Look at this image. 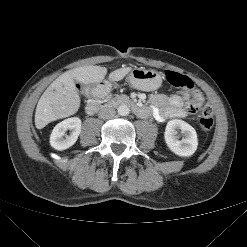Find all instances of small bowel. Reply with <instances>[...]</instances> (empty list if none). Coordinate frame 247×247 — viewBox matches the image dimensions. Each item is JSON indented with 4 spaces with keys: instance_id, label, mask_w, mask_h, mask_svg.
Masks as SVG:
<instances>
[{
    "instance_id": "c3829d8e",
    "label": "small bowel",
    "mask_w": 247,
    "mask_h": 247,
    "mask_svg": "<svg viewBox=\"0 0 247 247\" xmlns=\"http://www.w3.org/2000/svg\"><path fill=\"white\" fill-rule=\"evenodd\" d=\"M189 97V92L171 96L154 94L152 106L147 110V114H151L159 122H165L171 118H183L187 114L183 106Z\"/></svg>"
}]
</instances>
